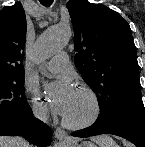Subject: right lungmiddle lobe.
Returning <instances> with one entry per match:
<instances>
[{"mask_svg":"<svg viewBox=\"0 0 145 147\" xmlns=\"http://www.w3.org/2000/svg\"><path fill=\"white\" fill-rule=\"evenodd\" d=\"M24 81V75L0 81V119L22 115L29 109L24 95Z\"/></svg>","mask_w":145,"mask_h":147,"instance_id":"1","label":"right lung middle lobe"}]
</instances>
